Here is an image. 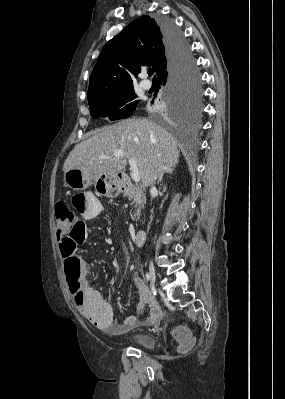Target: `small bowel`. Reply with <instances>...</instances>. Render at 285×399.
Masks as SVG:
<instances>
[{
  "mask_svg": "<svg viewBox=\"0 0 285 399\" xmlns=\"http://www.w3.org/2000/svg\"><path fill=\"white\" fill-rule=\"evenodd\" d=\"M102 209L101 202L93 194L88 193L87 203L81 211L82 220L79 221L85 231L88 229L86 221L96 218ZM69 268L77 274L79 282L76 293L69 289L71 298L81 314L96 327L113 334H125L137 327L157 323L161 319L162 311L139 275L133 277L134 285L139 293V301L136 305L137 315H128L121 322L116 323L109 303L104 300L99 290L89 284L87 280L88 267L85 262L80 257H76L71 261ZM79 293L83 295L82 301H79ZM146 308L147 312H145Z\"/></svg>",
  "mask_w": 285,
  "mask_h": 399,
  "instance_id": "small-bowel-1",
  "label": "small bowel"
}]
</instances>
